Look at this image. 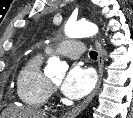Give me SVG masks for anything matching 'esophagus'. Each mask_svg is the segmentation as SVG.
<instances>
[{
  "label": "esophagus",
  "instance_id": "obj_1",
  "mask_svg": "<svg viewBox=\"0 0 133 118\" xmlns=\"http://www.w3.org/2000/svg\"><path fill=\"white\" fill-rule=\"evenodd\" d=\"M95 47H96L97 53H98V57H97L98 82H97V85H96L94 91L82 103H80L78 106H76L71 111H69L65 114V116L67 118L76 117L92 101V99L94 98V96L96 95V93L100 87L102 76H103V68H104L103 48L98 40L95 41Z\"/></svg>",
  "mask_w": 133,
  "mask_h": 118
}]
</instances>
